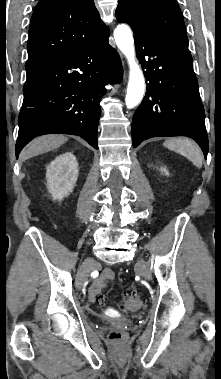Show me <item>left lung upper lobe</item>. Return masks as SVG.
Returning <instances> with one entry per match:
<instances>
[{
  "instance_id": "5c2ea615",
  "label": "left lung upper lobe",
  "mask_w": 221,
  "mask_h": 379,
  "mask_svg": "<svg viewBox=\"0 0 221 379\" xmlns=\"http://www.w3.org/2000/svg\"><path fill=\"white\" fill-rule=\"evenodd\" d=\"M118 14L153 37L188 48L185 24L176 0H119Z\"/></svg>"
}]
</instances>
